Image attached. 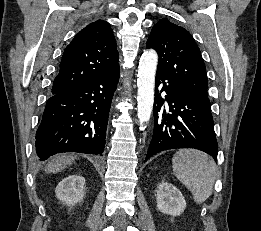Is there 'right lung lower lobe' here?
Returning <instances> with one entry per match:
<instances>
[{
	"label": "right lung lower lobe",
	"instance_id": "right-lung-lower-lobe-1",
	"mask_svg": "<svg viewBox=\"0 0 261 231\" xmlns=\"http://www.w3.org/2000/svg\"><path fill=\"white\" fill-rule=\"evenodd\" d=\"M119 66L47 100L36 133V153L44 161L62 152L102 155Z\"/></svg>",
	"mask_w": 261,
	"mask_h": 231
}]
</instances>
